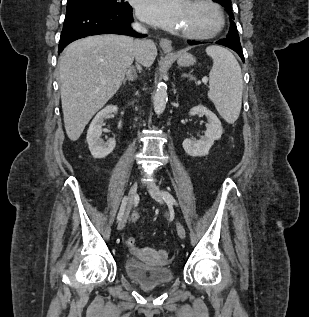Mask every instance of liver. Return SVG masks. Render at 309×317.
I'll list each match as a JSON object with an SVG mask.
<instances>
[{"label": "liver", "instance_id": "6515ba94", "mask_svg": "<svg viewBox=\"0 0 309 317\" xmlns=\"http://www.w3.org/2000/svg\"><path fill=\"white\" fill-rule=\"evenodd\" d=\"M140 63L150 67L155 44L144 40ZM135 57L134 41L122 35H96L69 44L59 59V81L66 133L71 141L118 91Z\"/></svg>", "mask_w": 309, "mask_h": 317}]
</instances>
